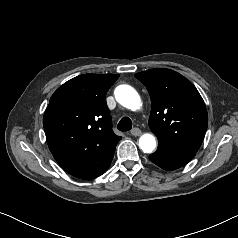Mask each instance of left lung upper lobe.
Instances as JSON below:
<instances>
[{"label":"left lung upper lobe","mask_w":238,"mask_h":238,"mask_svg":"<svg viewBox=\"0 0 238 238\" xmlns=\"http://www.w3.org/2000/svg\"><path fill=\"white\" fill-rule=\"evenodd\" d=\"M135 77L150 94L149 127L159 144L196 154L208 125L207 110L196 87L170 69H151Z\"/></svg>","instance_id":"1"}]
</instances>
